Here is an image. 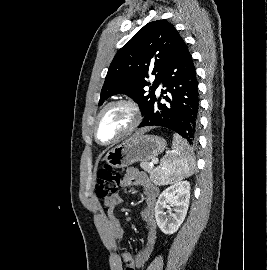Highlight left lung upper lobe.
<instances>
[{"instance_id":"left-lung-upper-lobe-1","label":"left lung upper lobe","mask_w":267,"mask_h":270,"mask_svg":"<svg viewBox=\"0 0 267 270\" xmlns=\"http://www.w3.org/2000/svg\"><path fill=\"white\" fill-rule=\"evenodd\" d=\"M181 40L178 31L165 20L153 21L142 27L112 60L99 105L112 95L126 94L139 104L145 114ZM149 70L155 75L152 85L146 81ZM148 85H151L149 92L144 90Z\"/></svg>"}]
</instances>
